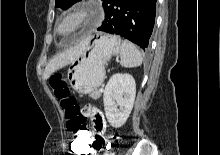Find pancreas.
I'll list each match as a JSON object with an SVG mask.
<instances>
[{
    "mask_svg": "<svg viewBox=\"0 0 220 155\" xmlns=\"http://www.w3.org/2000/svg\"><path fill=\"white\" fill-rule=\"evenodd\" d=\"M91 97L95 100L99 99L101 97V92L97 91L94 94L91 95Z\"/></svg>",
    "mask_w": 220,
    "mask_h": 155,
    "instance_id": "obj_1",
    "label": "pancreas"
}]
</instances>
